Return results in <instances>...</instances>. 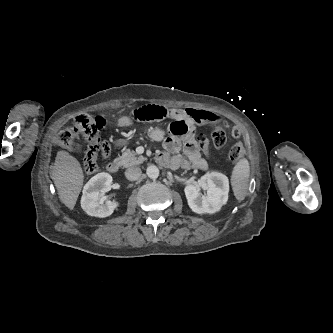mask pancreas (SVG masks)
<instances>
[{
	"label": "pancreas",
	"instance_id": "cf45deb5",
	"mask_svg": "<svg viewBox=\"0 0 333 333\" xmlns=\"http://www.w3.org/2000/svg\"><path fill=\"white\" fill-rule=\"evenodd\" d=\"M118 160L123 167H131L141 164L145 158L143 156H138L133 150L126 149Z\"/></svg>",
	"mask_w": 333,
	"mask_h": 333
}]
</instances>
